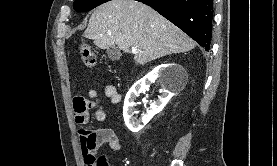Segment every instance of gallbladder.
<instances>
[{
	"instance_id": "obj_1",
	"label": "gallbladder",
	"mask_w": 277,
	"mask_h": 166,
	"mask_svg": "<svg viewBox=\"0 0 277 166\" xmlns=\"http://www.w3.org/2000/svg\"><path fill=\"white\" fill-rule=\"evenodd\" d=\"M107 55L111 60H118L121 57V53L119 49L115 46H111L107 49Z\"/></svg>"
}]
</instances>
